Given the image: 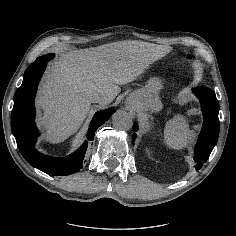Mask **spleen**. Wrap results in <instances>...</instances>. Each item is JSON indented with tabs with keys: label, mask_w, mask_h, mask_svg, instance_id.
Masks as SVG:
<instances>
[{
	"label": "spleen",
	"mask_w": 236,
	"mask_h": 236,
	"mask_svg": "<svg viewBox=\"0 0 236 236\" xmlns=\"http://www.w3.org/2000/svg\"><path fill=\"white\" fill-rule=\"evenodd\" d=\"M194 136L193 131L189 130L186 118L177 114L165 125L164 139L166 144L173 149L185 148Z\"/></svg>",
	"instance_id": "3e777b00"
}]
</instances>
